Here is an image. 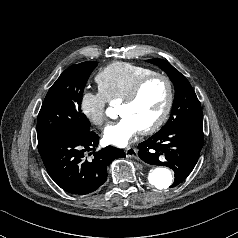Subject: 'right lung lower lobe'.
Masks as SVG:
<instances>
[{
    "label": "right lung lower lobe",
    "instance_id": "1",
    "mask_svg": "<svg viewBox=\"0 0 238 238\" xmlns=\"http://www.w3.org/2000/svg\"><path fill=\"white\" fill-rule=\"evenodd\" d=\"M99 136L93 131L64 135L38 145L46 170L63 190L85 195L98 190L107 179V166L115 158L125 157L122 150L107 146L95 152ZM93 149L92 159L85 152Z\"/></svg>",
    "mask_w": 238,
    "mask_h": 238
}]
</instances>
